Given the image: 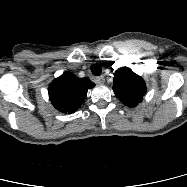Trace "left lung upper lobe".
<instances>
[{
  "label": "left lung upper lobe",
  "mask_w": 187,
  "mask_h": 187,
  "mask_svg": "<svg viewBox=\"0 0 187 187\" xmlns=\"http://www.w3.org/2000/svg\"><path fill=\"white\" fill-rule=\"evenodd\" d=\"M113 90L115 95L129 107H135L146 93L144 80L130 68H119L114 74Z\"/></svg>",
  "instance_id": "1"
}]
</instances>
